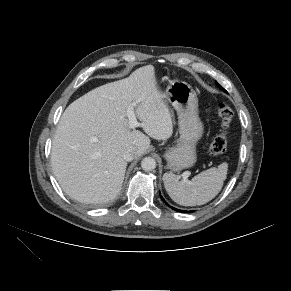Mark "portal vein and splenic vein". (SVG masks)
<instances>
[{
  "label": "portal vein and splenic vein",
  "mask_w": 291,
  "mask_h": 291,
  "mask_svg": "<svg viewBox=\"0 0 291 291\" xmlns=\"http://www.w3.org/2000/svg\"><path fill=\"white\" fill-rule=\"evenodd\" d=\"M127 117L129 119V128L134 129L140 126V123L137 121L133 107L128 108L127 110ZM190 175L189 172H185L183 174L184 180H187V177Z\"/></svg>",
  "instance_id": "obj_1"
}]
</instances>
